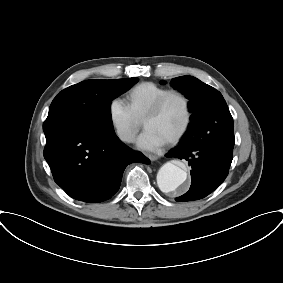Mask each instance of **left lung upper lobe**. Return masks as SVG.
<instances>
[{"instance_id": "1", "label": "left lung upper lobe", "mask_w": 283, "mask_h": 283, "mask_svg": "<svg viewBox=\"0 0 283 283\" xmlns=\"http://www.w3.org/2000/svg\"><path fill=\"white\" fill-rule=\"evenodd\" d=\"M171 85L190 100L189 110L192 115L189 127L202 123L203 140L206 144L233 150V118L222 94L192 76L174 78Z\"/></svg>"}]
</instances>
